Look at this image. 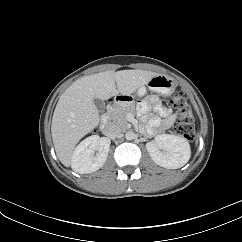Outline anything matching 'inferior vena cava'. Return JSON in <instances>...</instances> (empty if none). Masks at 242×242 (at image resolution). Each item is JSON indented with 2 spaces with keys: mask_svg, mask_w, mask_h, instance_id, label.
I'll list each match as a JSON object with an SVG mask.
<instances>
[{
  "mask_svg": "<svg viewBox=\"0 0 242 242\" xmlns=\"http://www.w3.org/2000/svg\"><path fill=\"white\" fill-rule=\"evenodd\" d=\"M121 132H122V127L115 123L110 124L105 130L106 136H108L111 139H115L119 137Z\"/></svg>",
  "mask_w": 242,
  "mask_h": 242,
  "instance_id": "inferior-vena-cava-1",
  "label": "inferior vena cava"
}]
</instances>
